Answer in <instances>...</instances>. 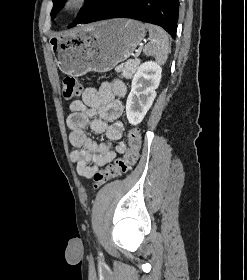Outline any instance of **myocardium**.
Masks as SVG:
<instances>
[{
	"label": "myocardium",
	"mask_w": 247,
	"mask_h": 280,
	"mask_svg": "<svg viewBox=\"0 0 247 280\" xmlns=\"http://www.w3.org/2000/svg\"><path fill=\"white\" fill-rule=\"evenodd\" d=\"M86 0H65L64 9L68 13H72L85 4Z\"/></svg>",
	"instance_id": "f54148a6"
}]
</instances>
